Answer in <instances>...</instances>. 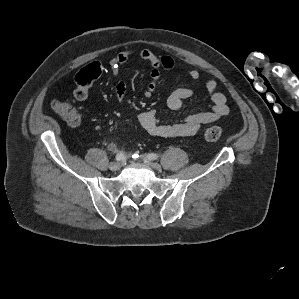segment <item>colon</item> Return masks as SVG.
Returning <instances> with one entry per match:
<instances>
[{
  "instance_id": "colon-1",
  "label": "colon",
  "mask_w": 299,
  "mask_h": 299,
  "mask_svg": "<svg viewBox=\"0 0 299 299\" xmlns=\"http://www.w3.org/2000/svg\"><path fill=\"white\" fill-rule=\"evenodd\" d=\"M52 110L61 117L70 127L79 125L81 115L77 108L68 101L54 100L51 104ZM222 129L217 126L206 128L203 137L207 141H217L222 137Z\"/></svg>"
}]
</instances>
